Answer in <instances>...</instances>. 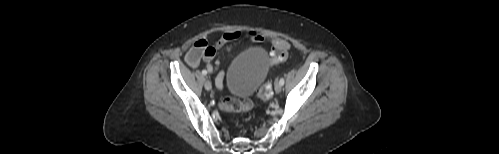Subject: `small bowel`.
<instances>
[{
	"mask_svg": "<svg viewBox=\"0 0 499 154\" xmlns=\"http://www.w3.org/2000/svg\"><path fill=\"white\" fill-rule=\"evenodd\" d=\"M238 39H249L254 42H261L263 40L262 35L255 31H230L224 33L216 42L215 49L221 50L225 48L230 42L238 40ZM229 51L230 48H227ZM207 69L209 72L217 71L220 65L219 60H213V58L206 60ZM198 61L192 62V66H196ZM224 70H221L217 75V84L220 88H222V81L224 77Z\"/></svg>",
	"mask_w": 499,
	"mask_h": 154,
	"instance_id": "small-bowel-1",
	"label": "small bowel"
}]
</instances>
